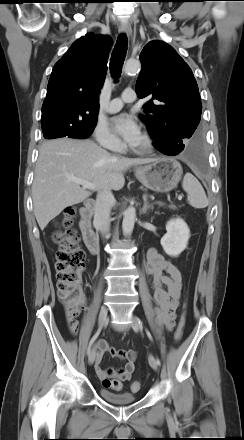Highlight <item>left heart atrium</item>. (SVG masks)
I'll return each mask as SVG.
<instances>
[{
  "mask_svg": "<svg viewBox=\"0 0 244 440\" xmlns=\"http://www.w3.org/2000/svg\"><path fill=\"white\" fill-rule=\"evenodd\" d=\"M114 131L129 145H135L141 137L137 122L130 116L120 114L112 119Z\"/></svg>",
  "mask_w": 244,
  "mask_h": 440,
  "instance_id": "39dd6f15",
  "label": "left heart atrium"
}]
</instances>
